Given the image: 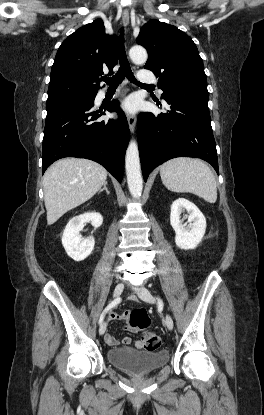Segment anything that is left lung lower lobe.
I'll list each match as a JSON object with an SVG mask.
<instances>
[{
  "instance_id": "1",
  "label": "left lung lower lobe",
  "mask_w": 264,
  "mask_h": 415,
  "mask_svg": "<svg viewBox=\"0 0 264 415\" xmlns=\"http://www.w3.org/2000/svg\"><path fill=\"white\" fill-rule=\"evenodd\" d=\"M166 113H141L137 134L144 180L158 165L175 157H196L216 172L218 159L211 127L208 95L181 92L165 97Z\"/></svg>"
}]
</instances>
